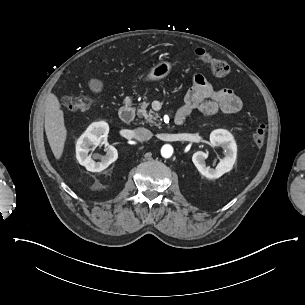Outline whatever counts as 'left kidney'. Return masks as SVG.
<instances>
[{
    "instance_id": "5707ae66",
    "label": "left kidney",
    "mask_w": 305,
    "mask_h": 305,
    "mask_svg": "<svg viewBox=\"0 0 305 305\" xmlns=\"http://www.w3.org/2000/svg\"><path fill=\"white\" fill-rule=\"evenodd\" d=\"M210 142L212 146H221L225 150V157L217 164L216 168L206 166L205 159L208 154L197 151L192 156V161L198 171L209 179L219 178L229 172L237 157V145L233 135L225 129H217L211 132Z\"/></svg>"
}]
</instances>
